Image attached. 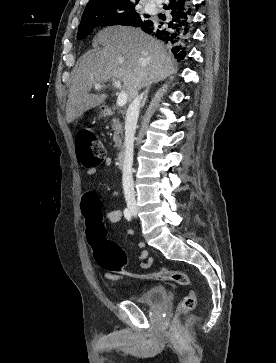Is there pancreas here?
<instances>
[{
  "label": "pancreas",
  "instance_id": "obj_1",
  "mask_svg": "<svg viewBox=\"0 0 276 363\" xmlns=\"http://www.w3.org/2000/svg\"><path fill=\"white\" fill-rule=\"evenodd\" d=\"M111 126L114 130L113 141L115 143V147L121 149L122 147V135H123V126L119 119L113 118L111 120Z\"/></svg>",
  "mask_w": 276,
  "mask_h": 363
}]
</instances>
